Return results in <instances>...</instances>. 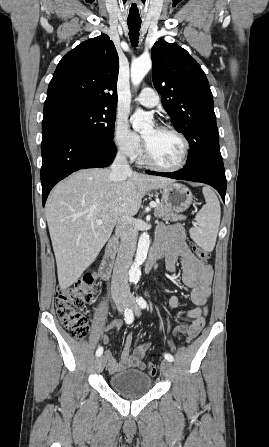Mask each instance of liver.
<instances>
[{
	"label": "liver",
	"mask_w": 269,
	"mask_h": 447,
	"mask_svg": "<svg viewBox=\"0 0 269 447\" xmlns=\"http://www.w3.org/2000/svg\"><path fill=\"white\" fill-rule=\"evenodd\" d=\"M110 174L106 168L75 172L55 186L46 202L61 289L72 285L96 259L121 216L137 214L148 190L174 182L137 172L126 182H113Z\"/></svg>",
	"instance_id": "obj_1"
}]
</instances>
